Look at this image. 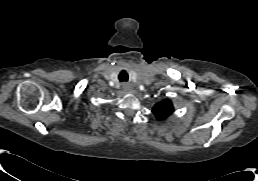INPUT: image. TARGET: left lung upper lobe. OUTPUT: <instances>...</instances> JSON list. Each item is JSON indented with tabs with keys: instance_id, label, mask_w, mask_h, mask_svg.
I'll return each mask as SVG.
<instances>
[{
	"instance_id": "5c2ea615",
	"label": "left lung upper lobe",
	"mask_w": 258,
	"mask_h": 181,
	"mask_svg": "<svg viewBox=\"0 0 258 181\" xmlns=\"http://www.w3.org/2000/svg\"><path fill=\"white\" fill-rule=\"evenodd\" d=\"M153 113L157 119L168 117L173 112V105L170 100H163L153 107Z\"/></svg>"
}]
</instances>
